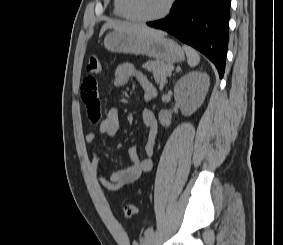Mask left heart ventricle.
Wrapping results in <instances>:
<instances>
[{
    "label": "left heart ventricle",
    "mask_w": 283,
    "mask_h": 245,
    "mask_svg": "<svg viewBox=\"0 0 283 245\" xmlns=\"http://www.w3.org/2000/svg\"><path fill=\"white\" fill-rule=\"evenodd\" d=\"M132 8L137 15L151 17L159 14L167 0H131Z\"/></svg>",
    "instance_id": "obj_1"
}]
</instances>
